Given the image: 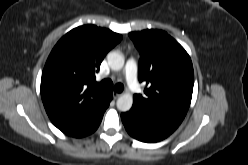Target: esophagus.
<instances>
[{
  "mask_svg": "<svg viewBox=\"0 0 248 165\" xmlns=\"http://www.w3.org/2000/svg\"><path fill=\"white\" fill-rule=\"evenodd\" d=\"M122 95V93L114 92L113 96L115 99L119 98Z\"/></svg>",
  "mask_w": 248,
  "mask_h": 165,
  "instance_id": "34e87169",
  "label": "esophagus"
}]
</instances>
